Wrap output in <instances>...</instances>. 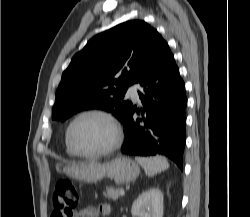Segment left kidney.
Wrapping results in <instances>:
<instances>
[{
    "mask_svg": "<svg viewBox=\"0 0 250 217\" xmlns=\"http://www.w3.org/2000/svg\"><path fill=\"white\" fill-rule=\"evenodd\" d=\"M163 193L158 188H150L133 202L131 213L134 217H163Z\"/></svg>",
    "mask_w": 250,
    "mask_h": 217,
    "instance_id": "left-kidney-1",
    "label": "left kidney"
}]
</instances>
